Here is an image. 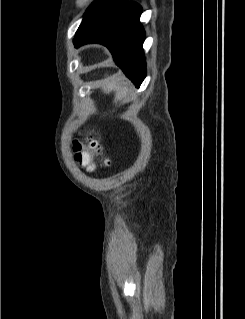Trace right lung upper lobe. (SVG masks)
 Returning <instances> with one entry per match:
<instances>
[{
    "label": "right lung upper lobe",
    "instance_id": "obj_1",
    "mask_svg": "<svg viewBox=\"0 0 245 319\" xmlns=\"http://www.w3.org/2000/svg\"><path fill=\"white\" fill-rule=\"evenodd\" d=\"M82 24V23H81ZM81 26V25H80ZM90 28V27H89ZM85 29H87V28H80L79 27V29H78V31H82V30H85Z\"/></svg>",
    "mask_w": 245,
    "mask_h": 319
}]
</instances>
